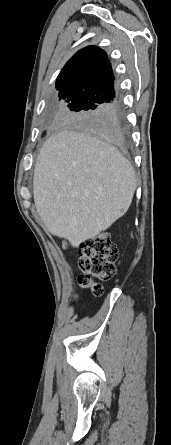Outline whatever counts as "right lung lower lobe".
Instances as JSON below:
<instances>
[{"mask_svg": "<svg viewBox=\"0 0 171 445\" xmlns=\"http://www.w3.org/2000/svg\"><path fill=\"white\" fill-rule=\"evenodd\" d=\"M109 106L103 111L99 117V126L106 137L110 141L123 143L122 127H121V105L119 99L107 101Z\"/></svg>", "mask_w": 171, "mask_h": 445, "instance_id": "obj_1", "label": "right lung lower lobe"}]
</instances>
